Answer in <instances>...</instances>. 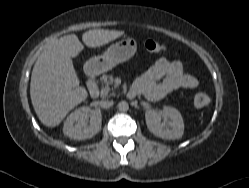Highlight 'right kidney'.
I'll use <instances>...</instances> for the list:
<instances>
[{"mask_svg":"<svg viewBox=\"0 0 249 188\" xmlns=\"http://www.w3.org/2000/svg\"><path fill=\"white\" fill-rule=\"evenodd\" d=\"M89 119V126L86 121ZM102 125L100 109L91 110L89 107H81L72 112L66 119L63 133L75 140H85L95 136Z\"/></svg>","mask_w":249,"mask_h":188,"instance_id":"ca27d5eb","label":"right kidney"}]
</instances>
